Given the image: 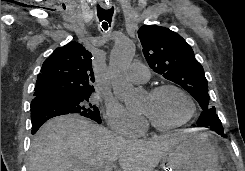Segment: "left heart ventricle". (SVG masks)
<instances>
[{
	"label": "left heart ventricle",
	"mask_w": 245,
	"mask_h": 171,
	"mask_svg": "<svg viewBox=\"0 0 245 171\" xmlns=\"http://www.w3.org/2000/svg\"><path fill=\"white\" fill-rule=\"evenodd\" d=\"M142 112L160 124H174L188 115L189 104L181 93L170 89L154 96L147 94Z\"/></svg>",
	"instance_id": "b2bd125f"
}]
</instances>
